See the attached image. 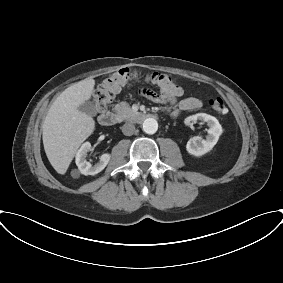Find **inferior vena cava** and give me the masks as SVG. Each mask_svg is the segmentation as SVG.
Returning <instances> with one entry per match:
<instances>
[{
  "mask_svg": "<svg viewBox=\"0 0 283 283\" xmlns=\"http://www.w3.org/2000/svg\"><path fill=\"white\" fill-rule=\"evenodd\" d=\"M122 132L126 136H131L135 132V126L133 124H131V123H125L122 126Z\"/></svg>",
  "mask_w": 283,
  "mask_h": 283,
  "instance_id": "inferior-vena-cava-1",
  "label": "inferior vena cava"
}]
</instances>
